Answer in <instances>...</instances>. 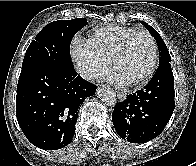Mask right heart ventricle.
Instances as JSON below:
<instances>
[{"label": "right heart ventricle", "mask_w": 196, "mask_h": 166, "mask_svg": "<svg viewBox=\"0 0 196 166\" xmlns=\"http://www.w3.org/2000/svg\"><path fill=\"white\" fill-rule=\"evenodd\" d=\"M133 30L126 27L107 26L95 31L88 41L98 53L111 61L123 39Z\"/></svg>", "instance_id": "obj_1"}]
</instances>
